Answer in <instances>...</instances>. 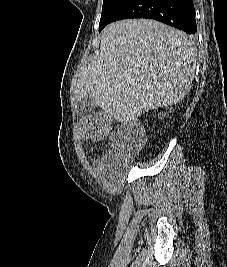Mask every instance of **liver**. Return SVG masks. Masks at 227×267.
<instances>
[{"mask_svg":"<svg viewBox=\"0 0 227 267\" xmlns=\"http://www.w3.org/2000/svg\"><path fill=\"white\" fill-rule=\"evenodd\" d=\"M194 61L195 48L182 31L149 19L118 21L102 32L100 53L81 72L76 99L90 96L125 123L182 101L192 85Z\"/></svg>","mask_w":227,"mask_h":267,"instance_id":"liver-1","label":"liver"}]
</instances>
